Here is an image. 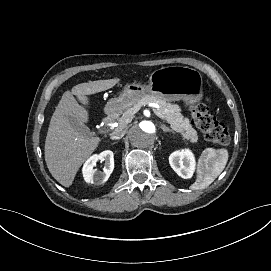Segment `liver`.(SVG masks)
I'll return each instance as SVG.
<instances>
[{
    "instance_id": "1",
    "label": "liver",
    "mask_w": 271,
    "mask_h": 271,
    "mask_svg": "<svg viewBox=\"0 0 271 271\" xmlns=\"http://www.w3.org/2000/svg\"><path fill=\"white\" fill-rule=\"evenodd\" d=\"M120 82V78L81 83L64 92L52 115L45 141L47 167L62 186L69 188L79 168L96 151L100 137H84L71 118L80 126L90 120V96L106 91ZM83 130V129H81Z\"/></svg>"
}]
</instances>
